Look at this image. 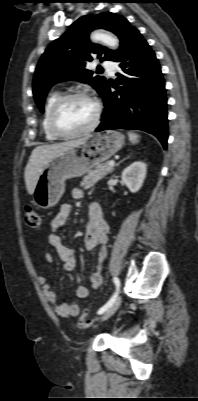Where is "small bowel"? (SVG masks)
Here are the masks:
<instances>
[{
    "label": "small bowel",
    "instance_id": "c3829d8e",
    "mask_svg": "<svg viewBox=\"0 0 198 401\" xmlns=\"http://www.w3.org/2000/svg\"><path fill=\"white\" fill-rule=\"evenodd\" d=\"M74 198L80 199L84 197V190L82 188H74L72 191ZM71 214V206L69 204H63L60 207L59 212L51 220L48 228V242L55 249L60 260L63 262L64 269L66 271H72L75 267V258L73 251L64 244L63 240L59 236L60 229L66 224ZM108 233L109 224L105 219L103 210L100 204L96 201L91 202L89 206V222L86 227L85 233V247L89 251H93L97 246L100 247L98 252V262L95 265L94 271L90 277L91 288L96 289L102 283V270L103 263L108 255ZM46 259L51 261L53 256L51 254L46 255ZM38 282L43 286V292L51 304H56V293L50 287L46 276L39 275ZM77 285L75 288V294L79 299L87 298L89 294V287L81 283V278L76 279ZM56 312L62 317H74L79 312V306L75 301L63 302L56 304ZM88 323L80 325L82 327L87 326Z\"/></svg>",
    "mask_w": 198,
    "mask_h": 401
}]
</instances>
